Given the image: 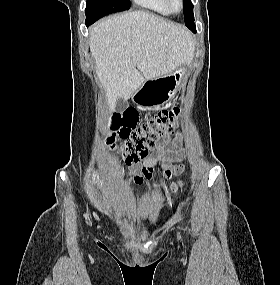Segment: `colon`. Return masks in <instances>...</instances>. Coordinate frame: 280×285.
Masks as SVG:
<instances>
[{
	"label": "colon",
	"instance_id": "obj_1",
	"mask_svg": "<svg viewBox=\"0 0 280 285\" xmlns=\"http://www.w3.org/2000/svg\"><path fill=\"white\" fill-rule=\"evenodd\" d=\"M138 120L139 114L134 108L127 109L122 115H116L113 119L116 132L110 138V142L114 143L116 139L122 142L128 163L144 158L148 149L159 139L178 129L180 109L174 107L162 110L141 125H138ZM170 188L173 193H177L182 188V182H174Z\"/></svg>",
	"mask_w": 280,
	"mask_h": 285
}]
</instances>
